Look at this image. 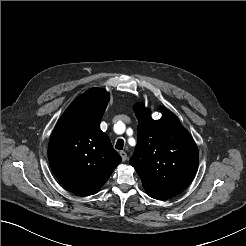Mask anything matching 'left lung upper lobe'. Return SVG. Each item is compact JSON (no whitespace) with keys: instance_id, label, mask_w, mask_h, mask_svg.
Returning <instances> with one entry per match:
<instances>
[{"instance_id":"1","label":"left lung upper lobe","mask_w":246,"mask_h":246,"mask_svg":"<svg viewBox=\"0 0 246 246\" xmlns=\"http://www.w3.org/2000/svg\"><path fill=\"white\" fill-rule=\"evenodd\" d=\"M134 110L138 142L130 164L145 190L178 195L191 183L198 168L199 153L193 138L166 109L159 120H153L150 110L141 103Z\"/></svg>"}]
</instances>
